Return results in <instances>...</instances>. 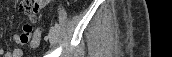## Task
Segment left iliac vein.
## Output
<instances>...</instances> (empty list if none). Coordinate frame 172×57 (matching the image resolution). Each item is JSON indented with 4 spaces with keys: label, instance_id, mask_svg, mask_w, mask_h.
<instances>
[{
    "label": "left iliac vein",
    "instance_id": "obj_1",
    "mask_svg": "<svg viewBox=\"0 0 172 57\" xmlns=\"http://www.w3.org/2000/svg\"><path fill=\"white\" fill-rule=\"evenodd\" d=\"M58 39V29L54 26L51 27L49 31V40L52 45H54L57 42Z\"/></svg>",
    "mask_w": 172,
    "mask_h": 57
}]
</instances>
